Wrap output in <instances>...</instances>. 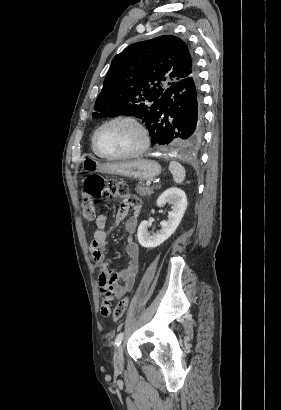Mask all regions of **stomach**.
Segmentation results:
<instances>
[{
  "instance_id": "obj_1",
  "label": "stomach",
  "mask_w": 281,
  "mask_h": 410,
  "mask_svg": "<svg viewBox=\"0 0 281 410\" xmlns=\"http://www.w3.org/2000/svg\"><path fill=\"white\" fill-rule=\"evenodd\" d=\"M82 164L83 169L86 171H98L138 180L155 178L161 172V167L158 163L141 158L112 164H100L94 159L88 158L84 159Z\"/></svg>"
}]
</instances>
